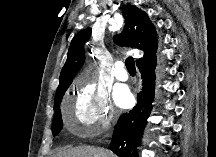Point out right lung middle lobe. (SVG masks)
I'll list each match as a JSON object with an SVG mask.
<instances>
[{
    "instance_id": "1",
    "label": "right lung middle lobe",
    "mask_w": 216,
    "mask_h": 157,
    "mask_svg": "<svg viewBox=\"0 0 216 157\" xmlns=\"http://www.w3.org/2000/svg\"><path fill=\"white\" fill-rule=\"evenodd\" d=\"M66 90H67V88L63 89L59 93V95H57L55 97V101H54L55 115L53 118V125H52L53 136L57 135L63 127V122H62V118H61V111L59 109V105L61 103L62 97H63Z\"/></svg>"
}]
</instances>
